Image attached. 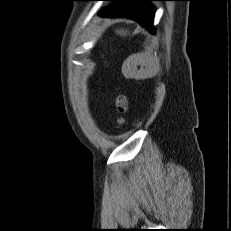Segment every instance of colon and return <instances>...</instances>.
<instances>
[{
	"label": "colon",
	"instance_id": "colon-1",
	"mask_svg": "<svg viewBox=\"0 0 231 231\" xmlns=\"http://www.w3.org/2000/svg\"><path fill=\"white\" fill-rule=\"evenodd\" d=\"M115 107L119 113L121 114L125 113L128 108V102L126 98L122 95H118L115 101ZM118 122L121 123L122 118H120Z\"/></svg>",
	"mask_w": 231,
	"mask_h": 231
}]
</instances>
